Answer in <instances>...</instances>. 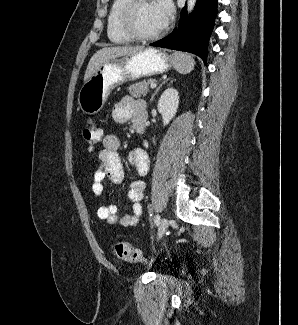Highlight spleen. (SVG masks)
I'll return each mask as SVG.
<instances>
[{"mask_svg": "<svg viewBox=\"0 0 298 325\" xmlns=\"http://www.w3.org/2000/svg\"><path fill=\"white\" fill-rule=\"evenodd\" d=\"M173 60L174 68L182 74H187L190 70H193L195 60L190 56V54H184V52H173L171 54Z\"/></svg>", "mask_w": 298, "mask_h": 325, "instance_id": "obj_1", "label": "spleen"}]
</instances>
